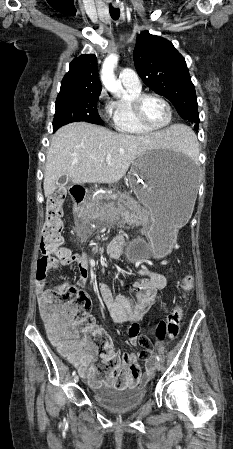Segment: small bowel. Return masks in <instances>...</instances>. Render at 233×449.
Masks as SVG:
<instances>
[{
    "label": "small bowel",
    "mask_w": 233,
    "mask_h": 449,
    "mask_svg": "<svg viewBox=\"0 0 233 449\" xmlns=\"http://www.w3.org/2000/svg\"><path fill=\"white\" fill-rule=\"evenodd\" d=\"M75 265L79 271L77 280L78 286H84L88 277V259L86 253H71L63 257H56L49 263L47 269L37 274L36 286L41 296L45 295V286L48 272L59 266ZM140 273L145 278L134 284L135 296L116 295L114 296L105 284L98 286L99 293L106 304L110 315L116 323L128 324V336L132 346L138 344L140 334V326L138 322L147 314L153 306L158 291L164 289L167 285L165 275L150 270L147 266L142 265ZM56 346V345H55ZM57 347V346H56ZM103 354L101 355L100 365H96V348L82 350L75 342H68V351L57 347L62 353L69 357L74 365H76L83 377L94 386L99 387L104 383L100 373L107 370L111 364L114 367L109 370L107 381H113L120 378L125 384H136L138 378L136 375H129L126 371L120 370L121 360L129 354L119 355L113 347V343L108 339L103 344ZM154 357L152 353L146 359V373L143 379L147 378L153 369Z\"/></svg>",
    "instance_id": "c3829d8e"
}]
</instances>
